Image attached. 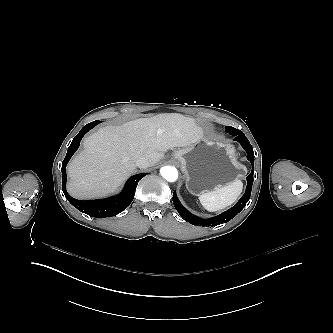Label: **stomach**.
I'll use <instances>...</instances> for the list:
<instances>
[{
    "instance_id": "obj_1",
    "label": "stomach",
    "mask_w": 333,
    "mask_h": 333,
    "mask_svg": "<svg viewBox=\"0 0 333 333\" xmlns=\"http://www.w3.org/2000/svg\"><path fill=\"white\" fill-rule=\"evenodd\" d=\"M171 159L181 168L188 191L196 196L243 177L245 166L237 161L230 144L200 141L173 151Z\"/></svg>"
}]
</instances>
